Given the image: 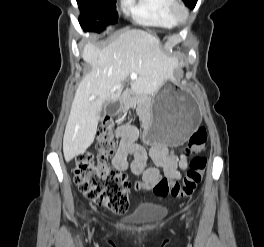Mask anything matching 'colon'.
Here are the masks:
<instances>
[{
    "instance_id": "5ec220e1",
    "label": "colon",
    "mask_w": 264,
    "mask_h": 247,
    "mask_svg": "<svg viewBox=\"0 0 264 247\" xmlns=\"http://www.w3.org/2000/svg\"><path fill=\"white\" fill-rule=\"evenodd\" d=\"M207 131L199 127L190 136L184 156H192L189 169L182 182L159 180L153 192L159 197H189L201 182L207 160L201 155L205 149ZM95 148L97 157L85 151L74 163V182L79 191L95 204L115 213H125L129 207V183L125 174L109 166V158L115 150L113 125L106 120L98 129Z\"/></svg>"
}]
</instances>
